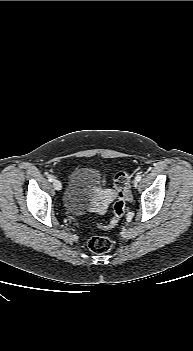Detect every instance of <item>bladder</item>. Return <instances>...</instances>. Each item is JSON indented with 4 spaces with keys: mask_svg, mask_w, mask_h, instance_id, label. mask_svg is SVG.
I'll use <instances>...</instances> for the list:
<instances>
[{
    "mask_svg": "<svg viewBox=\"0 0 193 351\" xmlns=\"http://www.w3.org/2000/svg\"><path fill=\"white\" fill-rule=\"evenodd\" d=\"M101 184L102 177L96 168L81 167L74 170L64 193L65 212L71 216H80L91 211L85 206V201L97 192Z\"/></svg>",
    "mask_w": 193,
    "mask_h": 351,
    "instance_id": "1",
    "label": "bladder"
}]
</instances>
